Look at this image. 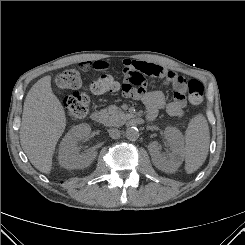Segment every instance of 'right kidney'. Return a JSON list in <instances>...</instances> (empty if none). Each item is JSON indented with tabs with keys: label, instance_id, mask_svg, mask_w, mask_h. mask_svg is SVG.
<instances>
[{
	"label": "right kidney",
	"instance_id": "1",
	"mask_svg": "<svg viewBox=\"0 0 245 245\" xmlns=\"http://www.w3.org/2000/svg\"><path fill=\"white\" fill-rule=\"evenodd\" d=\"M91 127L88 124L74 126L63 138L59 149V164L66 169H81L89 166L97 156L96 151L79 154L78 143L88 138Z\"/></svg>",
	"mask_w": 245,
	"mask_h": 245
}]
</instances>
